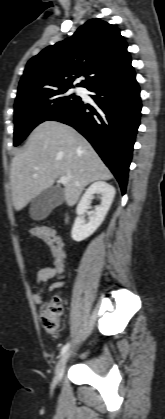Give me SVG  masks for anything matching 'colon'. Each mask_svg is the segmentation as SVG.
<instances>
[{
	"label": "colon",
	"instance_id": "obj_1",
	"mask_svg": "<svg viewBox=\"0 0 165 419\" xmlns=\"http://www.w3.org/2000/svg\"><path fill=\"white\" fill-rule=\"evenodd\" d=\"M33 235L42 236L48 244L55 267L58 273L63 274L65 270V252L60 236L53 230L45 227L33 229ZM64 312V304L59 296H53L46 301L40 308V323L48 334L56 335L60 331V322Z\"/></svg>",
	"mask_w": 165,
	"mask_h": 419
}]
</instances>
